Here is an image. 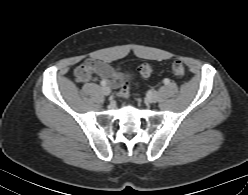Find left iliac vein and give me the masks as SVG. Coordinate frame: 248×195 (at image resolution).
Wrapping results in <instances>:
<instances>
[{"mask_svg":"<svg viewBox=\"0 0 248 195\" xmlns=\"http://www.w3.org/2000/svg\"><path fill=\"white\" fill-rule=\"evenodd\" d=\"M150 99L152 102H157L159 100V93L157 91H153L150 95Z\"/></svg>","mask_w":248,"mask_h":195,"instance_id":"left-iliac-vein-1","label":"left iliac vein"}]
</instances>
